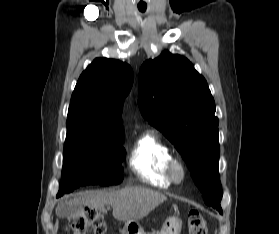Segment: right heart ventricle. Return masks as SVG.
I'll return each instance as SVG.
<instances>
[{
    "instance_id": "obj_1",
    "label": "right heart ventricle",
    "mask_w": 279,
    "mask_h": 234,
    "mask_svg": "<svg viewBox=\"0 0 279 234\" xmlns=\"http://www.w3.org/2000/svg\"><path fill=\"white\" fill-rule=\"evenodd\" d=\"M172 158L169 148L151 133L143 134L132 146L128 165L145 183L160 188L172 182L167 175V164Z\"/></svg>"
}]
</instances>
